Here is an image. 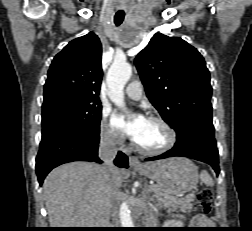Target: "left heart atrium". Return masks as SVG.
I'll use <instances>...</instances> for the list:
<instances>
[{
    "label": "left heart atrium",
    "mask_w": 252,
    "mask_h": 231,
    "mask_svg": "<svg viewBox=\"0 0 252 231\" xmlns=\"http://www.w3.org/2000/svg\"><path fill=\"white\" fill-rule=\"evenodd\" d=\"M147 120L148 119L143 115H138L132 121H127L124 115L117 114L114 117V124L123 133L136 140L141 134L144 126L146 125Z\"/></svg>",
    "instance_id": "obj_1"
}]
</instances>
